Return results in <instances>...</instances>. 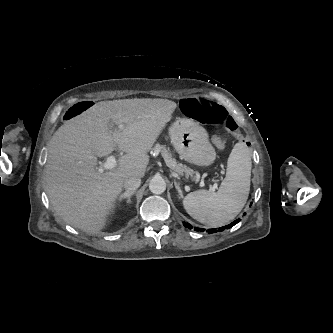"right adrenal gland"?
<instances>
[{
  "mask_svg": "<svg viewBox=\"0 0 333 333\" xmlns=\"http://www.w3.org/2000/svg\"><path fill=\"white\" fill-rule=\"evenodd\" d=\"M134 194V192H125L123 194H121L119 197H118V201L120 202L122 199H126L127 198V202L128 203H131V196Z\"/></svg>",
  "mask_w": 333,
  "mask_h": 333,
  "instance_id": "2a0ac1e0",
  "label": "right adrenal gland"
}]
</instances>
